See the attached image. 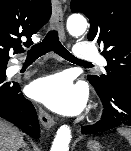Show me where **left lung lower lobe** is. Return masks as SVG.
<instances>
[{
	"label": "left lung lower lobe",
	"mask_w": 131,
	"mask_h": 151,
	"mask_svg": "<svg viewBox=\"0 0 131 151\" xmlns=\"http://www.w3.org/2000/svg\"><path fill=\"white\" fill-rule=\"evenodd\" d=\"M104 109L101 119L81 128L82 134L104 132L115 127L131 126V96L97 91Z\"/></svg>",
	"instance_id": "1"
}]
</instances>
